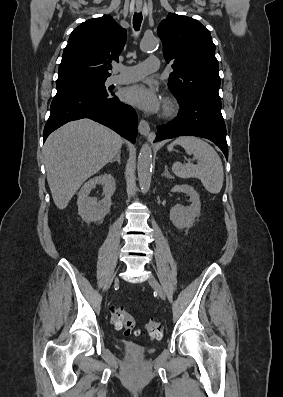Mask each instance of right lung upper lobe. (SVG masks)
<instances>
[{
  "instance_id": "cb5924a9",
  "label": "right lung upper lobe",
  "mask_w": 283,
  "mask_h": 397,
  "mask_svg": "<svg viewBox=\"0 0 283 397\" xmlns=\"http://www.w3.org/2000/svg\"><path fill=\"white\" fill-rule=\"evenodd\" d=\"M127 38L110 15L89 19L70 34L58 70V80L79 77L107 78L111 61H118Z\"/></svg>"
}]
</instances>
